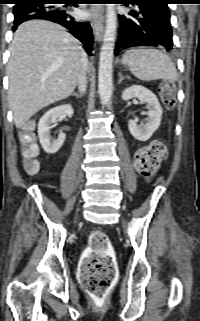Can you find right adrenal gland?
<instances>
[{
  "label": "right adrenal gland",
  "mask_w": 200,
  "mask_h": 321,
  "mask_svg": "<svg viewBox=\"0 0 200 321\" xmlns=\"http://www.w3.org/2000/svg\"><path fill=\"white\" fill-rule=\"evenodd\" d=\"M72 96H74L76 98H80L82 96V94L75 92V93L72 94Z\"/></svg>",
  "instance_id": "right-adrenal-gland-1"
}]
</instances>
